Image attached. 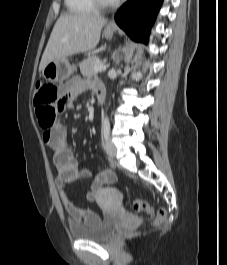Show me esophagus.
Instances as JSON below:
<instances>
[{"label": "esophagus", "instance_id": "obj_1", "mask_svg": "<svg viewBox=\"0 0 227 265\" xmlns=\"http://www.w3.org/2000/svg\"><path fill=\"white\" fill-rule=\"evenodd\" d=\"M109 29H115L116 28V23L114 21V18L111 19V21L108 23L107 26Z\"/></svg>", "mask_w": 227, "mask_h": 265}]
</instances>
